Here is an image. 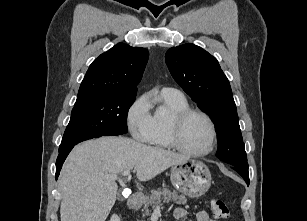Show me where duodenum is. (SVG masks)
<instances>
[{
  "label": "duodenum",
  "instance_id": "obj_1",
  "mask_svg": "<svg viewBox=\"0 0 307 221\" xmlns=\"http://www.w3.org/2000/svg\"><path fill=\"white\" fill-rule=\"evenodd\" d=\"M140 201H141V195L135 193L127 200V206L131 210H136L139 207Z\"/></svg>",
  "mask_w": 307,
  "mask_h": 221
}]
</instances>
